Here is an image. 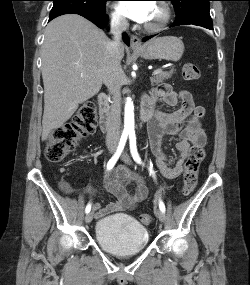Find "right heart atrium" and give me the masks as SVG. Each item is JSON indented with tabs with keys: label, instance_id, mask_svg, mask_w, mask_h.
<instances>
[{
	"label": "right heart atrium",
	"instance_id": "d8ad5b80",
	"mask_svg": "<svg viewBox=\"0 0 250 285\" xmlns=\"http://www.w3.org/2000/svg\"><path fill=\"white\" fill-rule=\"evenodd\" d=\"M110 19L114 26L124 27L127 23L123 13L119 8L114 7L110 13Z\"/></svg>",
	"mask_w": 250,
	"mask_h": 285
}]
</instances>
